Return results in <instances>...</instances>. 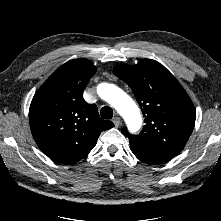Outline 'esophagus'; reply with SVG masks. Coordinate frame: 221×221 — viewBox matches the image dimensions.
I'll use <instances>...</instances> for the list:
<instances>
[{"mask_svg": "<svg viewBox=\"0 0 221 221\" xmlns=\"http://www.w3.org/2000/svg\"><path fill=\"white\" fill-rule=\"evenodd\" d=\"M113 123H114L115 127H119L122 123L120 117H118V116L114 117Z\"/></svg>", "mask_w": 221, "mask_h": 221, "instance_id": "esophagus-1", "label": "esophagus"}]
</instances>
